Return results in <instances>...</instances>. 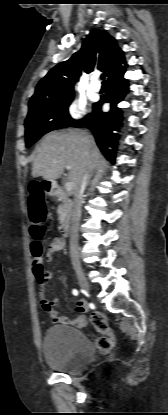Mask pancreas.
I'll list each match as a JSON object with an SVG mask.
<instances>
[{
    "label": "pancreas",
    "instance_id": "pancreas-1",
    "mask_svg": "<svg viewBox=\"0 0 168 415\" xmlns=\"http://www.w3.org/2000/svg\"><path fill=\"white\" fill-rule=\"evenodd\" d=\"M61 204L59 205L57 212H58V219L60 221H64L67 217H69L71 211V201L65 197L60 199Z\"/></svg>",
    "mask_w": 168,
    "mask_h": 415
}]
</instances>
